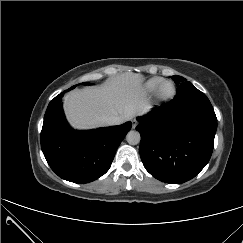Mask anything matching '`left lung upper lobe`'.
Masks as SVG:
<instances>
[{"label":"left lung upper lobe","instance_id":"left-lung-upper-lobe-1","mask_svg":"<svg viewBox=\"0 0 243 243\" xmlns=\"http://www.w3.org/2000/svg\"><path fill=\"white\" fill-rule=\"evenodd\" d=\"M171 78L176 84H179V87L187 86L197 94L196 98L188 104L192 110L206 113L214 112V109L206 95L195 88L189 81L186 82L183 77L177 75L172 76Z\"/></svg>","mask_w":243,"mask_h":243}]
</instances>
